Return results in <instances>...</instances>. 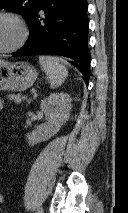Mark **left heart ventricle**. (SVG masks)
<instances>
[{"label": "left heart ventricle", "mask_w": 128, "mask_h": 213, "mask_svg": "<svg viewBox=\"0 0 128 213\" xmlns=\"http://www.w3.org/2000/svg\"><path fill=\"white\" fill-rule=\"evenodd\" d=\"M19 37V28L10 18L0 17V49L12 46Z\"/></svg>", "instance_id": "b2bd125f"}]
</instances>
